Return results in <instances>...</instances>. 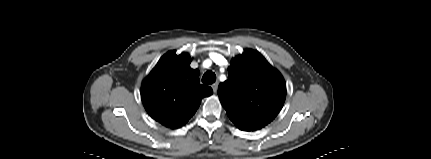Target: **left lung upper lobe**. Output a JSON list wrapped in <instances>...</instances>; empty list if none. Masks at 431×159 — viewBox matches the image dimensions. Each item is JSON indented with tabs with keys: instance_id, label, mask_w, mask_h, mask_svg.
Wrapping results in <instances>:
<instances>
[{
	"instance_id": "left-lung-upper-lobe-1",
	"label": "left lung upper lobe",
	"mask_w": 431,
	"mask_h": 159,
	"mask_svg": "<svg viewBox=\"0 0 431 159\" xmlns=\"http://www.w3.org/2000/svg\"><path fill=\"white\" fill-rule=\"evenodd\" d=\"M218 95L229 119L241 130L254 131L270 123L286 97L282 75L258 52L248 50L228 67V80Z\"/></svg>"
}]
</instances>
